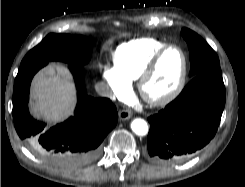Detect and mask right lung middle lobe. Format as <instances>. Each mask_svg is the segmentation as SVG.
<instances>
[{
    "label": "right lung middle lobe",
    "instance_id": "obj_1",
    "mask_svg": "<svg viewBox=\"0 0 245 187\" xmlns=\"http://www.w3.org/2000/svg\"><path fill=\"white\" fill-rule=\"evenodd\" d=\"M91 41L83 36L49 34L30 50L21 65L36 61H63L71 65H84L89 61Z\"/></svg>",
    "mask_w": 245,
    "mask_h": 187
}]
</instances>
